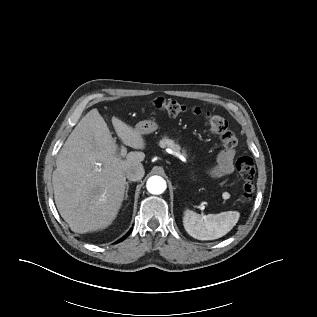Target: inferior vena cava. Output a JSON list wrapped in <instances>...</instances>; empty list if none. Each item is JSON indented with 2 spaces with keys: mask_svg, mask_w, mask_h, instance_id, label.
I'll return each mask as SVG.
<instances>
[{
  "mask_svg": "<svg viewBox=\"0 0 317 317\" xmlns=\"http://www.w3.org/2000/svg\"><path fill=\"white\" fill-rule=\"evenodd\" d=\"M144 168L142 165H137V166H133L131 167L127 173H126V177L128 180L130 181H139L143 178L144 176Z\"/></svg>",
  "mask_w": 317,
  "mask_h": 317,
  "instance_id": "inferior-vena-cava-1",
  "label": "inferior vena cava"
}]
</instances>
